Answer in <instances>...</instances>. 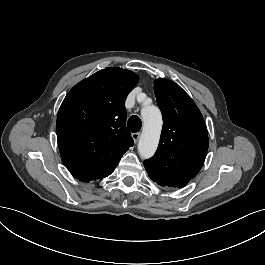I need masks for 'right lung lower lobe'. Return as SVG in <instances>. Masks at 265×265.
<instances>
[{"instance_id":"98d812e1","label":"right lung lower lobe","mask_w":265,"mask_h":265,"mask_svg":"<svg viewBox=\"0 0 265 265\" xmlns=\"http://www.w3.org/2000/svg\"><path fill=\"white\" fill-rule=\"evenodd\" d=\"M69 172L78 180L82 182L95 181L96 179H102L103 177L109 176L115 169L114 168H89V167H78V166H66Z\"/></svg>"}]
</instances>
